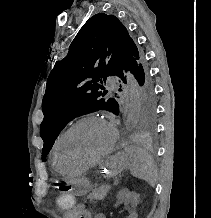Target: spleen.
I'll list each match as a JSON object with an SVG mask.
<instances>
[{
	"mask_svg": "<svg viewBox=\"0 0 211 218\" xmlns=\"http://www.w3.org/2000/svg\"><path fill=\"white\" fill-rule=\"evenodd\" d=\"M129 170L132 176L148 182L154 188L157 180V170L153 158L146 150H133L129 152Z\"/></svg>",
	"mask_w": 211,
	"mask_h": 218,
	"instance_id": "spleen-1",
	"label": "spleen"
}]
</instances>
